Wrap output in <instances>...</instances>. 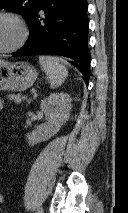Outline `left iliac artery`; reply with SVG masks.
I'll list each match as a JSON object with an SVG mask.
<instances>
[{
    "mask_svg": "<svg viewBox=\"0 0 128 213\" xmlns=\"http://www.w3.org/2000/svg\"><path fill=\"white\" fill-rule=\"evenodd\" d=\"M37 213H43L42 208H39Z\"/></svg>",
    "mask_w": 128,
    "mask_h": 213,
    "instance_id": "1",
    "label": "left iliac artery"
}]
</instances>
